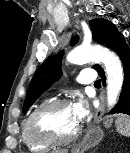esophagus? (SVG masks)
<instances>
[{"label": "esophagus", "mask_w": 130, "mask_h": 153, "mask_svg": "<svg viewBox=\"0 0 130 153\" xmlns=\"http://www.w3.org/2000/svg\"><path fill=\"white\" fill-rule=\"evenodd\" d=\"M104 108H105V96L102 93L100 95V106L98 107V109L95 113L94 122H98L101 119Z\"/></svg>", "instance_id": "34e87169"}]
</instances>
